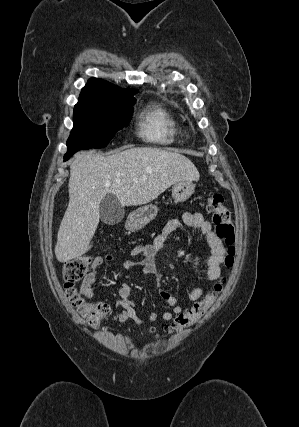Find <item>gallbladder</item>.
Returning a JSON list of instances; mask_svg holds the SVG:
<instances>
[{
    "instance_id": "bac80fb5",
    "label": "gallbladder",
    "mask_w": 299,
    "mask_h": 427,
    "mask_svg": "<svg viewBox=\"0 0 299 427\" xmlns=\"http://www.w3.org/2000/svg\"><path fill=\"white\" fill-rule=\"evenodd\" d=\"M99 215L103 223L115 225L121 222L125 215V210L116 196L109 193L102 199L99 205Z\"/></svg>"
}]
</instances>
